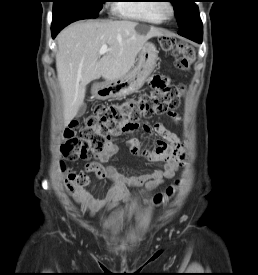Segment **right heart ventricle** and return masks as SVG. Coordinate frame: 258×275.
Instances as JSON below:
<instances>
[{"instance_id": "e07e8e85", "label": "right heart ventricle", "mask_w": 258, "mask_h": 275, "mask_svg": "<svg viewBox=\"0 0 258 275\" xmlns=\"http://www.w3.org/2000/svg\"><path fill=\"white\" fill-rule=\"evenodd\" d=\"M116 4V10L123 16L152 24L163 22L158 13L157 0H129Z\"/></svg>"}]
</instances>
